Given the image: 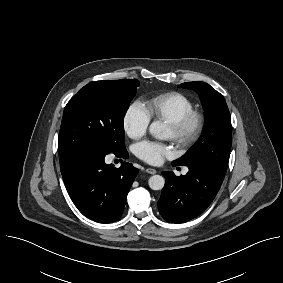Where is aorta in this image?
Wrapping results in <instances>:
<instances>
[{
  "label": "aorta",
  "instance_id": "obj_1",
  "mask_svg": "<svg viewBox=\"0 0 283 283\" xmlns=\"http://www.w3.org/2000/svg\"><path fill=\"white\" fill-rule=\"evenodd\" d=\"M149 132L156 139H165V127L159 121H154L150 124ZM148 184L152 190H161L164 187L165 179L160 175H153L149 178Z\"/></svg>",
  "mask_w": 283,
  "mask_h": 283
}]
</instances>
